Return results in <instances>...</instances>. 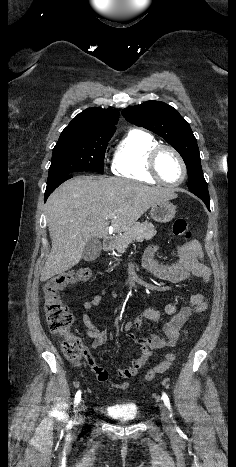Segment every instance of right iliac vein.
<instances>
[{
	"label": "right iliac vein",
	"mask_w": 236,
	"mask_h": 467,
	"mask_svg": "<svg viewBox=\"0 0 236 467\" xmlns=\"http://www.w3.org/2000/svg\"><path fill=\"white\" fill-rule=\"evenodd\" d=\"M77 415L75 417V424L79 425L84 421V416L82 414L83 411H85V406L83 403H80L77 409Z\"/></svg>",
	"instance_id": "63e3f726"
}]
</instances>
